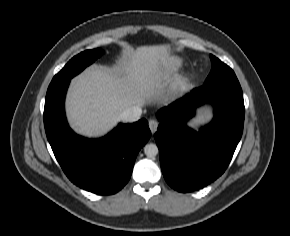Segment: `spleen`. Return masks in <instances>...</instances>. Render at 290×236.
Returning <instances> with one entry per match:
<instances>
[{
  "mask_svg": "<svg viewBox=\"0 0 290 236\" xmlns=\"http://www.w3.org/2000/svg\"><path fill=\"white\" fill-rule=\"evenodd\" d=\"M210 117L209 113L207 111L201 113L198 119L195 120L196 123L198 122H204L205 120H208Z\"/></svg>",
  "mask_w": 290,
  "mask_h": 236,
  "instance_id": "spleen-1",
  "label": "spleen"
}]
</instances>
